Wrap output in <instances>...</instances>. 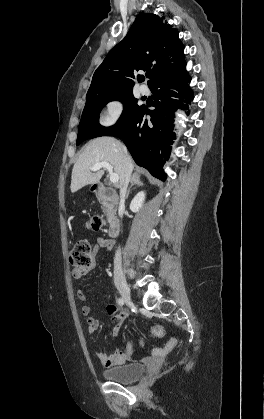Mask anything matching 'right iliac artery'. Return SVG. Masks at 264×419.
Instances as JSON below:
<instances>
[{
	"instance_id": "1",
	"label": "right iliac artery",
	"mask_w": 264,
	"mask_h": 419,
	"mask_svg": "<svg viewBox=\"0 0 264 419\" xmlns=\"http://www.w3.org/2000/svg\"><path fill=\"white\" fill-rule=\"evenodd\" d=\"M117 302L120 306L124 305V300L122 298H119Z\"/></svg>"
}]
</instances>
